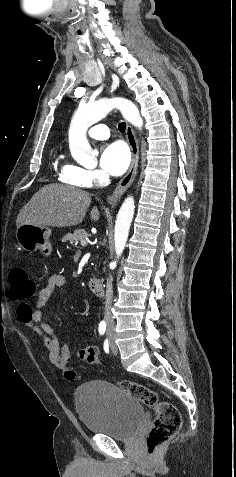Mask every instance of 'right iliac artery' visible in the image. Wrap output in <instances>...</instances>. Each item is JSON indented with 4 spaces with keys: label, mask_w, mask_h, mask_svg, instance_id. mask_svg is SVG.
<instances>
[{
    "label": "right iliac artery",
    "mask_w": 236,
    "mask_h": 477,
    "mask_svg": "<svg viewBox=\"0 0 236 477\" xmlns=\"http://www.w3.org/2000/svg\"><path fill=\"white\" fill-rule=\"evenodd\" d=\"M98 331H99L100 335H104V333L106 331V323L105 322H100Z\"/></svg>",
    "instance_id": "obj_1"
}]
</instances>
